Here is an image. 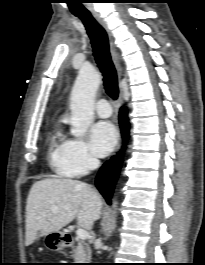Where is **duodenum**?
Here are the masks:
<instances>
[{"label": "duodenum", "instance_id": "duodenum-1", "mask_svg": "<svg viewBox=\"0 0 205 265\" xmlns=\"http://www.w3.org/2000/svg\"><path fill=\"white\" fill-rule=\"evenodd\" d=\"M62 241H63V243H64L65 245H67V246H71V245H73V238H72V236L69 235V234H65V235H63V236H62Z\"/></svg>", "mask_w": 205, "mask_h": 265}]
</instances>
